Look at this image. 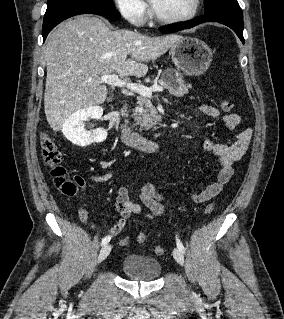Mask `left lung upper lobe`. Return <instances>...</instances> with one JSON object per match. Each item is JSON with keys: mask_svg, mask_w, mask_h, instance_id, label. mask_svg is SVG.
<instances>
[{"mask_svg": "<svg viewBox=\"0 0 284 319\" xmlns=\"http://www.w3.org/2000/svg\"><path fill=\"white\" fill-rule=\"evenodd\" d=\"M221 11L242 12L237 0H205V14Z\"/></svg>", "mask_w": 284, "mask_h": 319, "instance_id": "obj_1", "label": "left lung upper lobe"}]
</instances>
